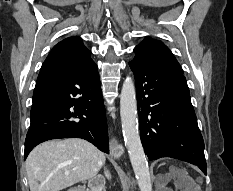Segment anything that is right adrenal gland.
Here are the masks:
<instances>
[{
	"instance_id": "obj_1",
	"label": "right adrenal gland",
	"mask_w": 233,
	"mask_h": 191,
	"mask_svg": "<svg viewBox=\"0 0 233 191\" xmlns=\"http://www.w3.org/2000/svg\"><path fill=\"white\" fill-rule=\"evenodd\" d=\"M99 177H102V178H103V180H104V182H105V179H104V177H103L102 175H100Z\"/></svg>"
}]
</instances>
